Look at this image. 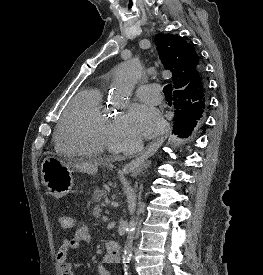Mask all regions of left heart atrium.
I'll return each instance as SVG.
<instances>
[{
	"mask_svg": "<svg viewBox=\"0 0 263 275\" xmlns=\"http://www.w3.org/2000/svg\"><path fill=\"white\" fill-rule=\"evenodd\" d=\"M129 124L134 134L145 138L157 135L164 127L160 112L146 104H136L131 107Z\"/></svg>",
	"mask_w": 263,
	"mask_h": 275,
	"instance_id": "obj_1",
	"label": "left heart atrium"
}]
</instances>
